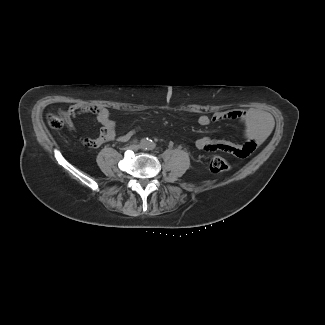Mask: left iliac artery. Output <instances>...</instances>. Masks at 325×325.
Instances as JSON below:
<instances>
[{
    "mask_svg": "<svg viewBox=\"0 0 325 325\" xmlns=\"http://www.w3.org/2000/svg\"><path fill=\"white\" fill-rule=\"evenodd\" d=\"M155 148V144L154 143H151L150 144V150H153Z\"/></svg>",
    "mask_w": 325,
    "mask_h": 325,
    "instance_id": "obj_1",
    "label": "left iliac artery"
}]
</instances>
